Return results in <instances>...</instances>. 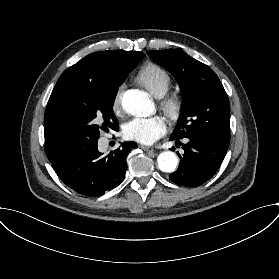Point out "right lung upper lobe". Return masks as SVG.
Segmentation results:
<instances>
[{
  "mask_svg": "<svg viewBox=\"0 0 279 279\" xmlns=\"http://www.w3.org/2000/svg\"><path fill=\"white\" fill-rule=\"evenodd\" d=\"M144 57L142 52L123 50L89 54L67 68L58 79L55 87L68 81H98L118 77L136 66Z\"/></svg>",
  "mask_w": 279,
  "mask_h": 279,
  "instance_id": "right-lung-upper-lobe-1",
  "label": "right lung upper lobe"
}]
</instances>
